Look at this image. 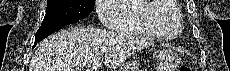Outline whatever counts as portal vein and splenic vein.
<instances>
[{"instance_id": "portal-vein-and-splenic-vein-1", "label": "portal vein and splenic vein", "mask_w": 230, "mask_h": 71, "mask_svg": "<svg viewBox=\"0 0 230 71\" xmlns=\"http://www.w3.org/2000/svg\"><path fill=\"white\" fill-rule=\"evenodd\" d=\"M98 66H99V58H95V59L93 60L92 71H93V70H97Z\"/></svg>"}]
</instances>
